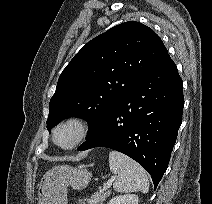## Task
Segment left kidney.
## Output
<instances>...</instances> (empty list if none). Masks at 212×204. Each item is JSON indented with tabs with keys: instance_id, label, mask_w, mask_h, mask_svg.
<instances>
[{
	"instance_id": "obj_1",
	"label": "left kidney",
	"mask_w": 212,
	"mask_h": 204,
	"mask_svg": "<svg viewBox=\"0 0 212 204\" xmlns=\"http://www.w3.org/2000/svg\"><path fill=\"white\" fill-rule=\"evenodd\" d=\"M108 204H138V196L135 194L118 195L112 198Z\"/></svg>"
}]
</instances>
